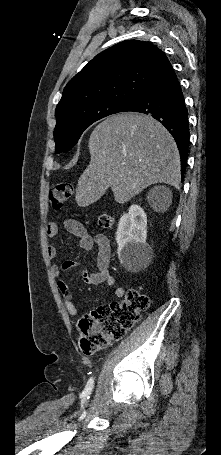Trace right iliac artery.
<instances>
[{
	"label": "right iliac artery",
	"mask_w": 221,
	"mask_h": 455,
	"mask_svg": "<svg viewBox=\"0 0 221 455\" xmlns=\"http://www.w3.org/2000/svg\"><path fill=\"white\" fill-rule=\"evenodd\" d=\"M93 384H94V380H93V378H90L84 389V393L89 394L92 391Z\"/></svg>",
	"instance_id": "obj_1"
}]
</instances>
